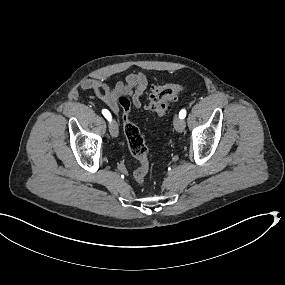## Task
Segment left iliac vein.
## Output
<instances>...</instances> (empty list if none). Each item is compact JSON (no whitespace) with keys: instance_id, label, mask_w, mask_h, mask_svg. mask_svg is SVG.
Returning <instances> with one entry per match:
<instances>
[{"instance_id":"obj_1","label":"left iliac vein","mask_w":285,"mask_h":285,"mask_svg":"<svg viewBox=\"0 0 285 285\" xmlns=\"http://www.w3.org/2000/svg\"><path fill=\"white\" fill-rule=\"evenodd\" d=\"M173 125L178 132H183L186 127L185 121L178 116L174 118Z\"/></svg>"}]
</instances>
